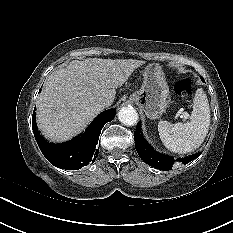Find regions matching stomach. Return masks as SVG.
<instances>
[{
  "label": "stomach",
  "instance_id": "1",
  "mask_svg": "<svg viewBox=\"0 0 233 233\" xmlns=\"http://www.w3.org/2000/svg\"><path fill=\"white\" fill-rule=\"evenodd\" d=\"M144 81L139 91L130 95L149 119H158L168 107L169 87L162 67L149 64L143 71Z\"/></svg>",
  "mask_w": 233,
  "mask_h": 233
}]
</instances>
